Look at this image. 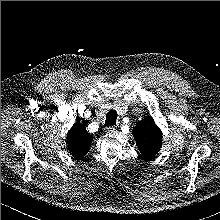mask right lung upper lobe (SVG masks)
Here are the masks:
<instances>
[{"label": "right lung upper lobe", "mask_w": 220, "mask_h": 220, "mask_svg": "<svg viewBox=\"0 0 220 220\" xmlns=\"http://www.w3.org/2000/svg\"><path fill=\"white\" fill-rule=\"evenodd\" d=\"M93 141V135L86 131L84 123L78 121L67 134V143L70 152L76 159H81L87 154Z\"/></svg>", "instance_id": "right-lung-upper-lobe-1"}]
</instances>
